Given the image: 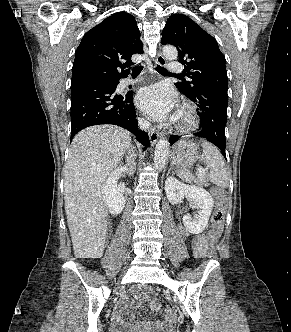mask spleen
I'll return each instance as SVG.
<instances>
[{"mask_svg":"<svg viewBox=\"0 0 291 332\" xmlns=\"http://www.w3.org/2000/svg\"><path fill=\"white\" fill-rule=\"evenodd\" d=\"M203 154L201 160L210 168V180L221 188H227L229 179L225 162L220 151L211 143L204 141L201 143ZM177 175L185 181L193 180V176L187 169H179Z\"/></svg>","mask_w":291,"mask_h":332,"instance_id":"3e777b00","label":"spleen"}]
</instances>
